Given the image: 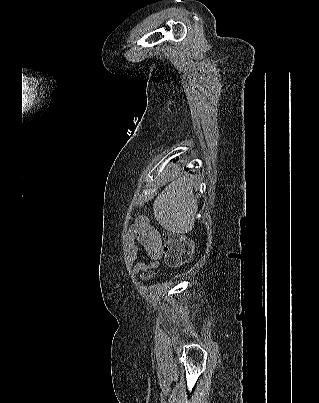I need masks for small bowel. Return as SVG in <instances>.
Here are the masks:
<instances>
[{
  "instance_id": "c3829d8e",
  "label": "small bowel",
  "mask_w": 319,
  "mask_h": 403,
  "mask_svg": "<svg viewBox=\"0 0 319 403\" xmlns=\"http://www.w3.org/2000/svg\"><path fill=\"white\" fill-rule=\"evenodd\" d=\"M137 238L139 239L138 236H137ZM137 249H138L137 245L133 244L131 246V250H130L129 256H128L129 264L133 263V261L137 258ZM144 249L147 252L146 248H144ZM157 266H158V263L156 261H153V262L140 261L132 268L131 273L133 275H136L137 273H139L141 271H146L149 268H156Z\"/></svg>"
}]
</instances>
